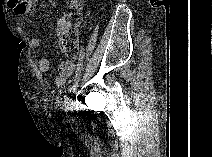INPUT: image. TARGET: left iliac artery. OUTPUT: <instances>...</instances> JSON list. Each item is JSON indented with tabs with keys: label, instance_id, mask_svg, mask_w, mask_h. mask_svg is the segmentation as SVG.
<instances>
[{
	"label": "left iliac artery",
	"instance_id": "1",
	"mask_svg": "<svg viewBox=\"0 0 212 157\" xmlns=\"http://www.w3.org/2000/svg\"><path fill=\"white\" fill-rule=\"evenodd\" d=\"M76 87H77V84H74L71 87L65 89V91H64L65 97H67L68 94H70L72 91H74L76 89Z\"/></svg>",
	"mask_w": 212,
	"mask_h": 157
}]
</instances>
